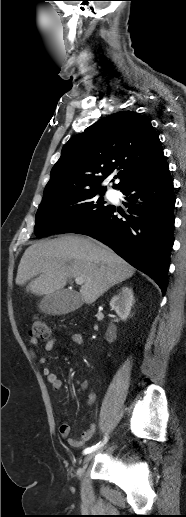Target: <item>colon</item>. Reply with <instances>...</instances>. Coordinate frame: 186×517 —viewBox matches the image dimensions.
<instances>
[{"label": "colon", "mask_w": 186, "mask_h": 517, "mask_svg": "<svg viewBox=\"0 0 186 517\" xmlns=\"http://www.w3.org/2000/svg\"><path fill=\"white\" fill-rule=\"evenodd\" d=\"M30 334L32 338L40 339V340H49L51 336L50 329L46 322L40 318L35 317L31 324Z\"/></svg>", "instance_id": "1"}]
</instances>
